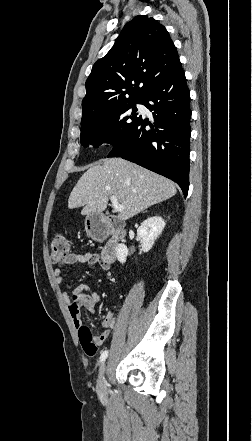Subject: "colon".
<instances>
[{"label": "colon", "instance_id": "obj_1", "mask_svg": "<svg viewBox=\"0 0 252 441\" xmlns=\"http://www.w3.org/2000/svg\"><path fill=\"white\" fill-rule=\"evenodd\" d=\"M70 252V246L67 239L62 235H56L50 244V257L53 262H59L64 259ZM80 343L84 352L93 357L97 353V343L90 329L82 325L78 329Z\"/></svg>", "mask_w": 252, "mask_h": 441}]
</instances>
